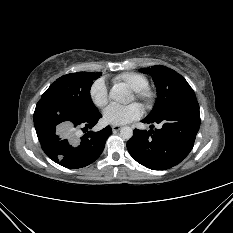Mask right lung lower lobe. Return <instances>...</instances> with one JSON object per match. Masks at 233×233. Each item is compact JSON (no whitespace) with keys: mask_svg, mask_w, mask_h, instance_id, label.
I'll use <instances>...</instances> for the list:
<instances>
[{"mask_svg":"<svg viewBox=\"0 0 233 233\" xmlns=\"http://www.w3.org/2000/svg\"><path fill=\"white\" fill-rule=\"evenodd\" d=\"M99 111L77 115L51 99H41L34 112L36 133L45 154L66 168H81L94 162L102 153L110 126L98 132L89 131L77 137V129L84 132L97 124Z\"/></svg>","mask_w":233,"mask_h":233,"instance_id":"98d812e1","label":"right lung lower lobe"}]
</instances>
